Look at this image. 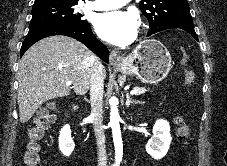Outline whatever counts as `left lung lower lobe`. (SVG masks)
<instances>
[{
  "mask_svg": "<svg viewBox=\"0 0 227 166\" xmlns=\"http://www.w3.org/2000/svg\"><path fill=\"white\" fill-rule=\"evenodd\" d=\"M172 29H180V30H184L186 32H188L189 34L192 35V37L198 41V37H197V34L194 30V26L193 25H190V26H181V27H175V28H172Z\"/></svg>",
  "mask_w": 227,
  "mask_h": 166,
  "instance_id": "left-lung-lower-lobe-1",
  "label": "left lung lower lobe"
}]
</instances>
